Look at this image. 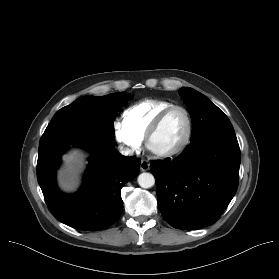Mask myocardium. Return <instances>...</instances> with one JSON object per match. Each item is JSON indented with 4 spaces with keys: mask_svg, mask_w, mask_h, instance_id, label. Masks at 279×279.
<instances>
[{
    "mask_svg": "<svg viewBox=\"0 0 279 279\" xmlns=\"http://www.w3.org/2000/svg\"><path fill=\"white\" fill-rule=\"evenodd\" d=\"M174 110H181L186 117L187 128H186L185 136L176 147L167 151H157L152 148L151 140L154 137V135L157 133L159 128L161 127L165 118L169 115V113H171ZM192 134H193V120L188 109L181 105H171L165 108L164 110H162L149 126L147 133L145 135V145L148 151L152 153L154 156H156L157 158H161V159L172 158L179 155L186 149V147L189 145L191 141Z\"/></svg>",
    "mask_w": 279,
    "mask_h": 279,
    "instance_id": "1",
    "label": "myocardium"
}]
</instances>
